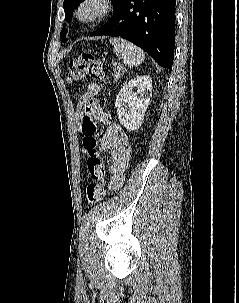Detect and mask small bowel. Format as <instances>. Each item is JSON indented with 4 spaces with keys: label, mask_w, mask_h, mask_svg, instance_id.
Instances as JSON below:
<instances>
[{
    "label": "small bowel",
    "mask_w": 239,
    "mask_h": 303,
    "mask_svg": "<svg viewBox=\"0 0 239 303\" xmlns=\"http://www.w3.org/2000/svg\"><path fill=\"white\" fill-rule=\"evenodd\" d=\"M99 86L95 83L89 85L87 92L81 98L78 111L84 112L88 102L98 93ZM99 150H106L111 155L109 189L117 190L125 182V172L128 167L132 147L126 132L114 123L105 126L104 133L101 135ZM84 153H87L83 149Z\"/></svg>",
    "instance_id": "obj_1"
}]
</instances>
